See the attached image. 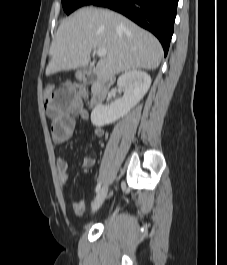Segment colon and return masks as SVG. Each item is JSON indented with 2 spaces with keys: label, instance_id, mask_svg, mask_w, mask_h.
I'll use <instances>...</instances> for the list:
<instances>
[{
  "label": "colon",
  "instance_id": "obj_1",
  "mask_svg": "<svg viewBox=\"0 0 227 265\" xmlns=\"http://www.w3.org/2000/svg\"><path fill=\"white\" fill-rule=\"evenodd\" d=\"M68 87H76V91H82L81 97H83L86 93L83 87H80V86H68ZM54 91H58V90H55L54 86L51 84H46L43 86V97H44L45 102H50V99H52V96H54L53 95Z\"/></svg>",
  "mask_w": 227,
  "mask_h": 265
}]
</instances>
